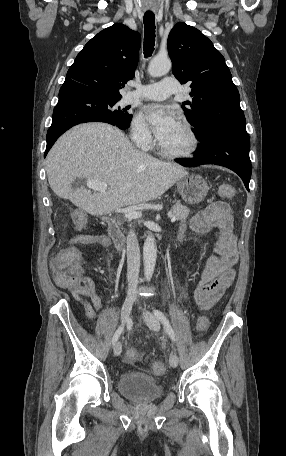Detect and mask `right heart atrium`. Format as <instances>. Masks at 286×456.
Returning a JSON list of instances; mask_svg holds the SVG:
<instances>
[{
	"label": "right heart atrium",
	"mask_w": 286,
	"mask_h": 456,
	"mask_svg": "<svg viewBox=\"0 0 286 456\" xmlns=\"http://www.w3.org/2000/svg\"><path fill=\"white\" fill-rule=\"evenodd\" d=\"M130 134L134 144L142 150H147L153 145L151 131L140 115L133 118Z\"/></svg>",
	"instance_id": "obj_1"
}]
</instances>
